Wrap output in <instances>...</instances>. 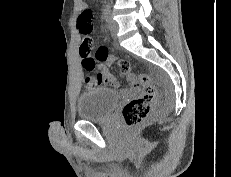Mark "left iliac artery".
<instances>
[{
	"label": "left iliac artery",
	"instance_id": "44dca946",
	"mask_svg": "<svg viewBox=\"0 0 231 177\" xmlns=\"http://www.w3.org/2000/svg\"><path fill=\"white\" fill-rule=\"evenodd\" d=\"M110 12H111L110 5L106 4L103 9V16L106 21L109 20Z\"/></svg>",
	"mask_w": 231,
	"mask_h": 177
}]
</instances>
